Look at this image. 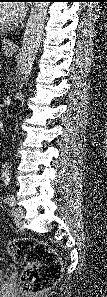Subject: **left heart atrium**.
<instances>
[{
  "mask_svg": "<svg viewBox=\"0 0 107 297\" xmlns=\"http://www.w3.org/2000/svg\"><path fill=\"white\" fill-rule=\"evenodd\" d=\"M24 13H25L24 4H11L7 11L10 22L18 21L20 18H22Z\"/></svg>",
  "mask_w": 107,
  "mask_h": 297,
  "instance_id": "39dd6f15",
  "label": "left heart atrium"
}]
</instances>
